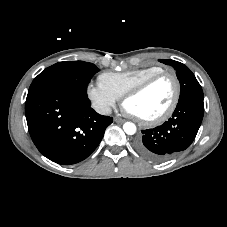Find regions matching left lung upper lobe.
<instances>
[{"label":"left lung upper lobe","instance_id":"left-lung-upper-lobe-1","mask_svg":"<svg viewBox=\"0 0 227 227\" xmlns=\"http://www.w3.org/2000/svg\"><path fill=\"white\" fill-rule=\"evenodd\" d=\"M158 61L166 65H171L176 70L181 87L179 101L189 96L203 97V91L199 82L186 65L170 59H159Z\"/></svg>","mask_w":227,"mask_h":227}]
</instances>
